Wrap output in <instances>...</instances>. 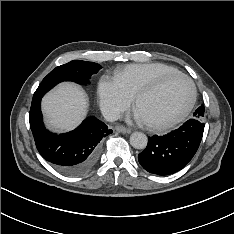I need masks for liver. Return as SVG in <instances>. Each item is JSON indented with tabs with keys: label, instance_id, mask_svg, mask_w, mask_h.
I'll list each match as a JSON object with an SVG mask.
<instances>
[{
	"label": "liver",
	"instance_id": "liver-1",
	"mask_svg": "<svg viewBox=\"0 0 234 234\" xmlns=\"http://www.w3.org/2000/svg\"><path fill=\"white\" fill-rule=\"evenodd\" d=\"M88 98L85 92L73 83H62L42 100V110L49 128L55 131H70L85 118Z\"/></svg>",
	"mask_w": 234,
	"mask_h": 234
}]
</instances>
